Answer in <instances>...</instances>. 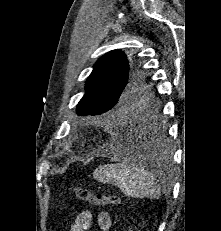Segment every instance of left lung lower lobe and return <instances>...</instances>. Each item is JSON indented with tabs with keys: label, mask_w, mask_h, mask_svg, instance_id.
Wrapping results in <instances>:
<instances>
[{
	"label": "left lung lower lobe",
	"mask_w": 221,
	"mask_h": 231,
	"mask_svg": "<svg viewBox=\"0 0 221 231\" xmlns=\"http://www.w3.org/2000/svg\"><path fill=\"white\" fill-rule=\"evenodd\" d=\"M115 127L120 133L122 150L138 155L145 164H153L152 160L168 152L166 138L159 130V121L156 117L148 116L134 120L132 116L125 115Z\"/></svg>",
	"instance_id": "obj_1"
}]
</instances>
